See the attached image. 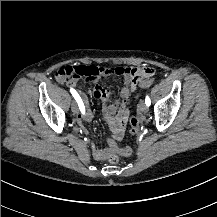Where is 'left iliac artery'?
Wrapping results in <instances>:
<instances>
[{"instance_id":"left-iliac-artery-1","label":"left iliac artery","mask_w":217,"mask_h":217,"mask_svg":"<svg viewBox=\"0 0 217 217\" xmlns=\"http://www.w3.org/2000/svg\"><path fill=\"white\" fill-rule=\"evenodd\" d=\"M145 104H146L147 106H150V104H151V100H150V98H149L148 96H146Z\"/></svg>"}]
</instances>
